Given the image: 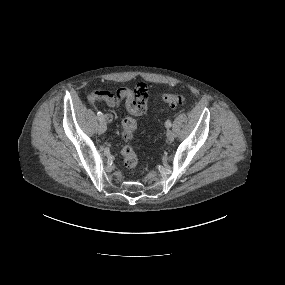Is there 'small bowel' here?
I'll return each mask as SVG.
<instances>
[{
    "label": "small bowel",
    "instance_id": "obj_1",
    "mask_svg": "<svg viewBox=\"0 0 285 285\" xmlns=\"http://www.w3.org/2000/svg\"><path fill=\"white\" fill-rule=\"evenodd\" d=\"M87 101L90 104L105 103L110 107H118L124 104L128 112L135 116H142L149 110L147 87L140 95H137L135 90L125 87L119 88L115 92L95 90L88 94ZM103 117L106 123L112 122L110 114H104Z\"/></svg>",
    "mask_w": 285,
    "mask_h": 285
}]
</instances>
